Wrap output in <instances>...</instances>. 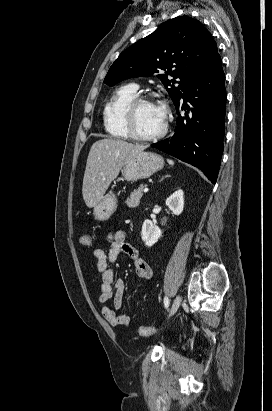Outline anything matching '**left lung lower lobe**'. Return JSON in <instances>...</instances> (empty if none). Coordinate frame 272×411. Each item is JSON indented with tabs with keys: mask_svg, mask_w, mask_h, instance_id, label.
I'll return each instance as SVG.
<instances>
[{
	"mask_svg": "<svg viewBox=\"0 0 272 411\" xmlns=\"http://www.w3.org/2000/svg\"><path fill=\"white\" fill-rule=\"evenodd\" d=\"M175 107V132L151 146L199 168L215 184L223 153L226 114L225 75L219 54ZM181 110L186 111L184 115Z\"/></svg>",
	"mask_w": 272,
	"mask_h": 411,
	"instance_id": "1",
	"label": "left lung lower lobe"
}]
</instances>
